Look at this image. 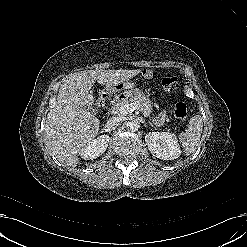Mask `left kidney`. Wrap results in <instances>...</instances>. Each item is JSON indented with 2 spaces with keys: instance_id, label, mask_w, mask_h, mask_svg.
Wrapping results in <instances>:
<instances>
[{
  "instance_id": "5707ae66",
  "label": "left kidney",
  "mask_w": 247,
  "mask_h": 247,
  "mask_svg": "<svg viewBox=\"0 0 247 247\" xmlns=\"http://www.w3.org/2000/svg\"><path fill=\"white\" fill-rule=\"evenodd\" d=\"M145 142L153 156L162 160L177 159L180 154L178 139L171 132H149L145 136Z\"/></svg>"
}]
</instances>
